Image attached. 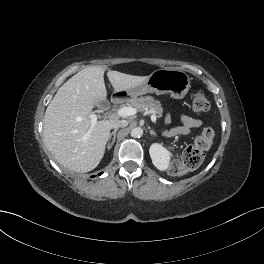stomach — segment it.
<instances>
[{
	"instance_id": "1",
	"label": "stomach",
	"mask_w": 264,
	"mask_h": 264,
	"mask_svg": "<svg viewBox=\"0 0 264 264\" xmlns=\"http://www.w3.org/2000/svg\"><path fill=\"white\" fill-rule=\"evenodd\" d=\"M190 88V77L182 70L162 68L152 72L146 82L129 90L133 97L146 93H169L174 99L185 97Z\"/></svg>"
}]
</instances>
